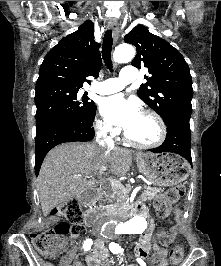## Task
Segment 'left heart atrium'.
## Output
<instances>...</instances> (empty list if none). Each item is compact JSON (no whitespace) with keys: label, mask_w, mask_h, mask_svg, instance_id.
I'll return each mask as SVG.
<instances>
[{"label":"left heart atrium","mask_w":221,"mask_h":266,"mask_svg":"<svg viewBox=\"0 0 221 266\" xmlns=\"http://www.w3.org/2000/svg\"><path fill=\"white\" fill-rule=\"evenodd\" d=\"M100 109L110 124L121 126L125 130L131 128L141 116L138 103L123 95H114L104 99Z\"/></svg>","instance_id":"left-heart-atrium-1"}]
</instances>
